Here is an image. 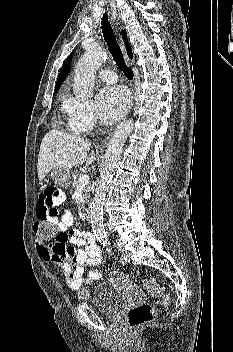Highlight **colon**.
<instances>
[{
  "instance_id": "colon-1",
  "label": "colon",
  "mask_w": 233,
  "mask_h": 352,
  "mask_svg": "<svg viewBox=\"0 0 233 352\" xmlns=\"http://www.w3.org/2000/svg\"><path fill=\"white\" fill-rule=\"evenodd\" d=\"M34 232L39 239L45 242L52 240L58 235L57 228L47 220H37L34 224ZM142 285L153 301L161 303L163 306L169 305L170 299L165 294L166 289L163 285L159 284L157 280L144 279ZM76 291L79 299L85 300L90 296L89 291L83 287L78 288ZM154 317V307L149 304H141L129 310L128 323L131 327L136 328L152 321Z\"/></svg>"
}]
</instances>
